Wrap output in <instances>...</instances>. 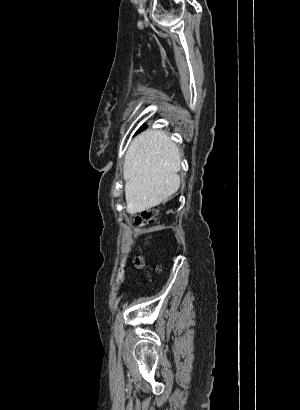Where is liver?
<instances>
[{
  "label": "liver",
  "instance_id": "1",
  "mask_svg": "<svg viewBox=\"0 0 300 410\" xmlns=\"http://www.w3.org/2000/svg\"><path fill=\"white\" fill-rule=\"evenodd\" d=\"M181 153L165 131L147 130L130 144L125 158L126 210L141 213L177 192Z\"/></svg>",
  "mask_w": 300,
  "mask_h": 410
}]
</instances>
